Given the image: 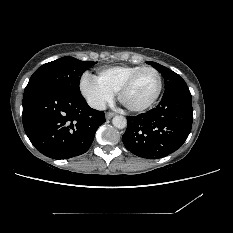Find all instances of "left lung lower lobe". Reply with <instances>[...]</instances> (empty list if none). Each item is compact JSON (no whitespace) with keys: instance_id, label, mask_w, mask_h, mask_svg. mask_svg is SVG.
<instances>
[{"instance_id":"left-lung-lower-lobe-1","label":"left lung lower lobe","mask_w":233,"mask_h":233,"mask_svg":"<svg viewBox=\"0 0 233 233\" xmlns=\"http://www.w3.org/2000/svg\"><path fill=\"white\" fill-rule=\"evenodd\" d=\"M122 136L125 147L133 154L158 159L179 149L192 127L191 93L186 86L165 94L150 111L129 116Z\"/></svg>"}]
</instances>
